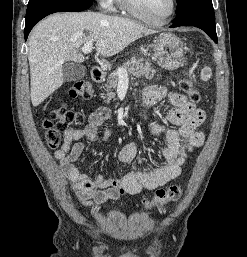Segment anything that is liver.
Wrapping results in <instances>:
<instances>
[{
	"instance_id": "obj_1",
	"label": "liver",
	"mask_w": 247,
	"mask_h": 257,
	"mask_svg": "<svg viewBox=\"0 0 247 257\" xmlns=\"http://www.w3.org/2000/svg\"><path fill=\"white\" fill-rule=\"evenodd\" d=\"M155 31L130 19L98 12L56 13L38 23L29 36L31 101L41 104L64 82L66 61L81 63L79 49L96 42L97 55L113 56Z\"/></svg>"
}]
</instances>
